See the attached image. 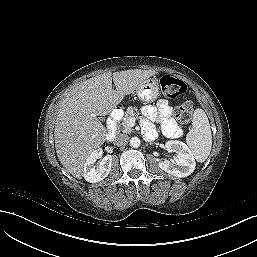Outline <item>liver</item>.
I'll list each match as a JSON object with an SVG mask.
<instances>
[{
	"instance_id": "obj_1",
	"label": "liver",
	"mask_w": 257,
	"mask_h": 257,
	"mask_svg": "<svg viewBox=\"0 0 257 257\" xmlns=\"http://www.w3.org/2000/svg\"><path fill=\"white\" fill-rule=\"evenodd\" d=\"M155 74L141 69L108 72L83 81L66 94L58 109L54 138L58 159L70 174L81 179L86 159L106 140V128L97 116L109 114Z\"/></svg>"
}]
</instances>
